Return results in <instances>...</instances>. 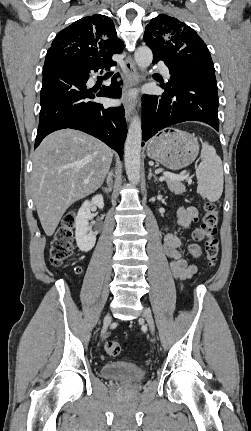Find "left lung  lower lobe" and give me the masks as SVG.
Segmentation results:
<instances>
[{
	"label": "left lung lower lobe",
	"instance_id": "0a47b994",
	"mask_svg": "<svg viewBox=\"0 0 251 431\" xmlns=\"http://www.w3.org/2000/svg\"><path fill=\"white\" fill-rule=\"evenodd\" d=\"M160 60L153 59V63ZM171 84L160 96H143L142 146L158 131L184 121H200L219 131L218 94L215 75L173 71L167 61Z\"/></svg>",
	"mask_w": 251,
	"mask_h": 431
}]
</instances>
